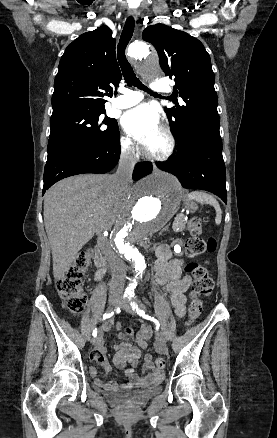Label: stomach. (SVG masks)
<instances>
[{"instance_id": "stomach-1", "label": "stomach", "mask_w": 277, "mask_h": 438, "mask_svg": "<svg viewBox=\"0 0 277 438\" xmlns=\"http://www.w3.org/2000/svg\"><path fill=\"white\" fill-rule=\"evenodd\" d=\"M185 208L190 210V211H195L197 209V205H196V203H194L191 200H186Z\"/></svg>"}]
</instances>
